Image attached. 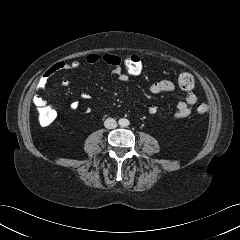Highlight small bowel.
<instances>
[{"label": "small bowel", "mask_w": 240, "mask_h": 240, "mask_svg": "<svg viewBox=\"0 0 240 240\" xmlns=\"http://www.w3.org/2000/svg\"><path fill=\"white\" fill-rule=\"evenodd\" d=\"M106 56H113V55L112 54L91 53V54L87 55L86 61L92 65L105 63L106 65H108L112 68V72L118 76L119 80H121L123 82L127 81L128 76L124 72H122L118 68L113 67L110 63H108L104 60V58ZM80 66H81V64L77 60H74L71 62L59 61V62L54 63L46 71L44 77L42 78V80L39 84V89H41V90L45 89L48 78L50 76H52L53 74H55L56 72L64 71V70L73 71V70L78 69ZM61 85L64 87H69L70 82L67 79H64L61 81ZM148 88L151 93L160 94V93L173 91L176 88V84L171 80H160V81L152 82ZM81 98L84 100H89L91 98V95L88 93H82ZM33 102L37 106L40 104H46V101L39 94L34 95ZM196 102H197L196 94L193 92H189L186 95V97L184 98V100H182L176 104L174 117L176 119H182V118L189 116L192 111V108ZM78 106H79V103L77 101H72L70 103L71 109H77ZM147 110L150 114H155L157 112V107L153 104H148Z\"/></svg>", "instance_id": "1"}]
</instances>
